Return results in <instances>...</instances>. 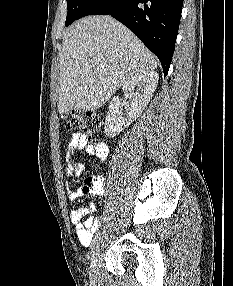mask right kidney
<instances>
[{"label":"right kidney","mask_w":233,"mask_h":286,"mask_svg":"<svg viewBox=\"0 0 233 286\" xmlns=\"http://www.w3.org/2000/svg\"><path fill=\"white\" fill-rule=\"evenodd\" d=\"M158 73L152 70L142 71L129 78L122 87L125 98L129 99L127 118L120 116V97H114L109 105L105 120L106 136L114 138L141 115L151 100L158 84Z\"/></svg>","instance_id":"ca27d5eb"}]
</instances>
